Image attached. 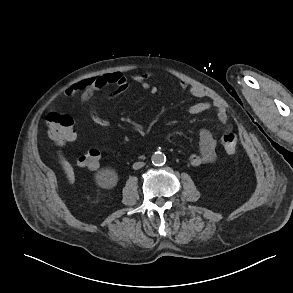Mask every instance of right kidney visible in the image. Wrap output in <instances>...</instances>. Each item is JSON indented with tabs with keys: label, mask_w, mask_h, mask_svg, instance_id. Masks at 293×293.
<instances>
[{
	"label": "right kidney",
	"mask_w": 293,
	"mask_h": 293,
	"mask_svg": "<svg viewBox=\"0 0 293 293\" xmlns=\"http://www.w3.org/2000/svg\"><path fill=\"white\" fill-rule=\"evenodd\" d=\"M108 173L112 176V177H114L115 179L117 178V176H116V174H115V172L114 171H108Z\"/></svg>",
	"instance_id": "1"
}]
</instances>
